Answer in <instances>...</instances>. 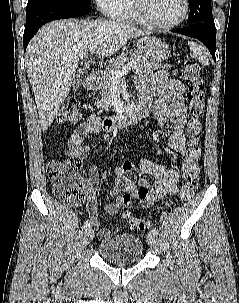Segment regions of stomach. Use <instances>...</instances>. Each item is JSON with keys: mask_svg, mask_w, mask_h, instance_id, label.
<instances>
[{"mask_svg": "<svg viewBox=\"0 0 239 303\" xmlns=\"http://www.w3.org/2000/svg\"><path fill=\"white\" fill-rule=\"evenodd\" d=\"M139 52L147 59L154 62L166 60L170 55L169 46L153 36H145L137 42Z\"/></svg>", "mask_w": 239, "mask_h": 303, "instance_id": "obj_1", "label": "stomach"}]
</instances>
